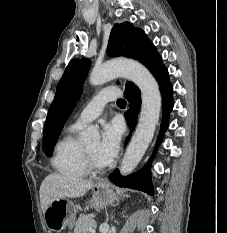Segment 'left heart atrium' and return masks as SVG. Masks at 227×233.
<instances>
[{
  "label": "left heart atrium",
  "mask_w": 227,
  "mask_h": 233,
  "mask_svg": "<svg viewBox=\"0 0 227 233\" xmlns=\"http://www.w3.org/2000/svg\"><path fill=\"white\" fill-rule=\"evenodd\" d=\"M121 140V130L116 123L103 126L97 157L103 164L110 163L117 155Z\"/></svg>",
  "instance_id": "1"
}]
</instances>
